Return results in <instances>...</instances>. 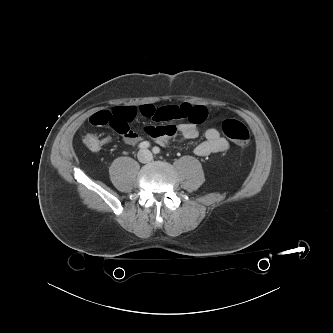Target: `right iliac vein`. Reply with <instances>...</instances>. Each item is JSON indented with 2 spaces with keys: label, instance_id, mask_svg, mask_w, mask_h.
<instances>
[{
  "label": "right iliac vein",
  "instance_id": "right-iliac-vein-1",
  "mask_svg": "<svg viewBox=\"0 0 333 333\" xmlns=\"http://www.w3.org/2000/svg\"><path fill=\"white\" fill-rule=\"evenodd\" d=\"M138 159H139L140 161H144V159H145V153H144V152H139V153H138Z\"/></svg>",
  "mask_w": 333,
  "mask_h": 333
}]
</instances>
